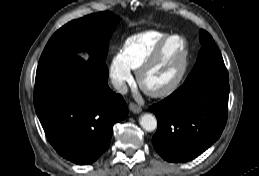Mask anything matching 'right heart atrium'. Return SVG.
<instances>
[{
    "label": "right heart atrium",
    "instance_id": "right-heart-atrium-1",
    "mask_svg": "<svg viewBox=\"0 0 259 176\" xmlns=\"http://www.w3.org/2000/svg\"><path fill=\"white\" fill-rule=\"evenodd\" d=\"M108 71L110 80L118 92H123L133 79L131 70L125 64L121 52H117L111 57Z\"/></svg>",
    "mask_w": 259,
    "mask_h": 176
}]
</instances>
